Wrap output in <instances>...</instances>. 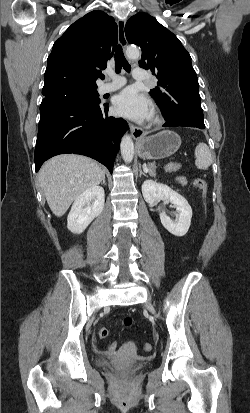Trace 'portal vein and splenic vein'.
Returning <instances> with one entry per match:
<instances>
[{
	"label": "portal vein and splenic vein",
	"mask_w": 250,
	"mask_h": 413,
	"mask_svg": "<svg viewBox=\"0 0 250 413\" xmlns=\"http://www.w3.org/2000/svg\"><path fill=\"white\" fill-rule=\"evenodd\" d=\"M145 171H148L147 167H145Z\"/></svg>",
	"instance_id": "1"
}]
</instances>
